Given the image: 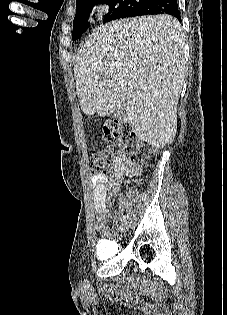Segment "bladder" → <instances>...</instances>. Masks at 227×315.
Returning a JSON list of instances; mask_svg holds the SVG:
<instances>
[{"label": "bladder", "instance_id": "obj_1", "mask_svg": "<svg viewBox=\"0 0 227 315\" xmlns=\"http://www.w3.org/2000/svg\"><path fill=\"white\" fill-rule=\"evenodd\" d=\"M112 252L111 247L107 243L102 242L98 245L96 254L100 258H108Z\"/></svg>", "mask_w": 227, "mask_h": 315}]
</instances>
